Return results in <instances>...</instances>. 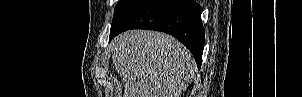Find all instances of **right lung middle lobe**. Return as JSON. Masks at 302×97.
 <instances>
[{
	"label": "right lung middle lobe",
	"mask_w": 302,
	"mask_h": 97,
	"mask_svg": "<svg viewBox=\"0 0 302 97\" xmlns=\"http://www.w3.org/2000/svg\"><path fill=\"white\" fill-rule=\"evenodd\" d=\"M145 0H121L115 7L110 35L114 33L123 21L131 15Z\"/></svg>",
	"instance_id": "right-lung-middle-lobe-1"
}]
</instances>
